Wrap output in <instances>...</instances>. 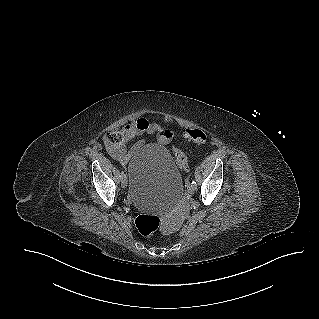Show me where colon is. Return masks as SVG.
Masks as SVG:
<instances>
[{"label": "colon", "instance_id": "colon-1", "mask_svg": "<svg viewBox=\"0 0 319 319\" xmlns=\"http://www.w3.org/2000/svg\"><path fill=\"white\" fill-rule=\"evenodd\" d=\"M176 134L180 140H189L193 144H204L207 141V134L194 128L180 127ZM172 154L180 170L188 172L189 162L187 155L177 148L172 150ZM135 224L138 231L145 236L154 234L162 226L161 220L157 216L148 214L139 215L135 220Z\"/></svg>", "mask_w": 319, "mask_h": 319}]
</instances>
